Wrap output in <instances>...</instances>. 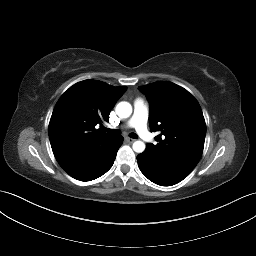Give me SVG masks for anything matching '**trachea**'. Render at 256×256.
<instances>
[{
	"label": "trachea",
	"mask_w": 256,
	"mask_h": 256,
	"mask_svg": "<svg viewBox=\"0 0 256 256\" xmlns=\"http://www.w3.org/2000/svg\"><path fill=\"white\" fill-rule=\"evenodd\" d=\"M104 131L108 132V133H110L112 135H120L121 134V132L119 130H117V129H107V128H105ZM129 136L131 138H133V139H137V137H138L137 134H135V133H130Z\"/></svg>",
	"instance_id": "obj_1"
}]
</instances>
